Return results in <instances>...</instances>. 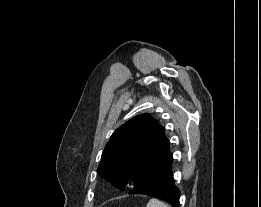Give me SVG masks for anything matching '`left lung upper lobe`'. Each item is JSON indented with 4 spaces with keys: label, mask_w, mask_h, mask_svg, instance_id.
Here are the masks:
<instances>
[{
    "label": "left lung upper lobe",
    "mask_w": 261,
    "mask_h": 207,
    "mask_svg": "<svg viewBox=\"0 0 261 207\" xmlns=\"http://www.w3.org/2000/svg\"><path fill=\"white\" fill-rule=\"evenodd\" d=\"M173 162L164 128L150 114L128 120L112 134L97 172L115 187H135Z\"/></svg>",
    "instance_id": "left-lung-upper-lobe-1"
}]
</instances>
